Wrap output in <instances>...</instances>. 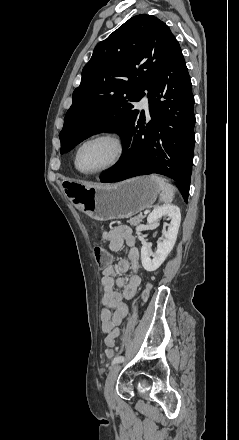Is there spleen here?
Here are the masks:
<instances>
[{"label": "spleen", "instance_id": "spleen-1", "mask_svg": "<svg viewBox=\"0 0 239 440\" xmlns=\"http://www.w3.org/2000/svg\"><path fill=\"white\" fill-rule=\"evenodd\" d=\"M151 178L152 180H154V182H157L161 190V202H165V204H171V202H173L174 192H176L175 186L167 184V180H165V178H159L157 174H152Z\"/></svg>", "mask_w": 239, "mask_h": 440}]
</instances>
